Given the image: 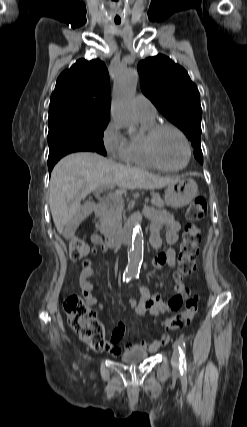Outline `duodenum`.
<instances>
[{
	"mask_svg": "<svg viewBox=\"0 0 247 427\" xmlns=\"http://www.w3.org/2000/svg\"><path fill=\"white\" fill-rule=\"evenodd\" d=\"M106 209H107V205L105 203L103 202L99 203L96 206L94 211L95 216L97 217L101 216L102 214H104ZM132 236H133V224L126 223L120 232L116 234H112L106 238V242H105L106 247L113 250L118 249L122 245L129 244L132 240Z\"/></svg>",
	"mask_w": 247,
	"mask_h": 427,
	"instance_id": "duodenum-1",
	"label": "duodenum"
}]
</instances>
